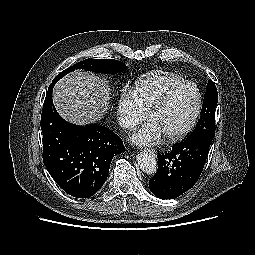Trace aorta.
<instances>
[{
    "mask_svg": "<svg viewBox=\"0 0 255 255\" xmlns=\"http://www.w3.org/2000/svg\"><path fill=\"white\" fill-rule=\"evenodd\" d=\"M137 163L140 169L147 174H154L157 171V162L151 152H141L137 155Z\"/></svg>",
    "mask_w": 255,
    "mask_h": 255,
    "instance_id": "obj_1",
    "label": "aorta"
}]
</instances>
